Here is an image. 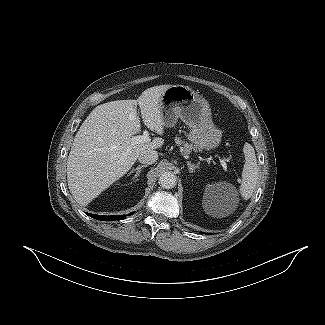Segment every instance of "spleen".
<instances>
[{"instance_id": "1", "label": "spleen", "mask_w": 325, "mask_h": 325, "mask_svg": "<svg viewBox=\"0 0 325 325\" xmlns=\"http://www.w3.org/2000/svg\"><path fill=\"white\" fill-rule=\"evenodd\" d=\"M243 152L245 165L242 171V183L239 191L244 199H249L256 188L259 170L253 146L246 143Z\"/></svg>"}]
</instances>
